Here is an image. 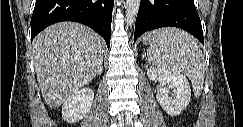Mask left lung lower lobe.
Instances as JSON below:
<instances>
[{"label": "left lung lower lobe", "mask_w": 243, "mask_h": 127, "mask_svg": "<svg viewBox=\"0 0 243 127\" xmlns=\"http://www.w3.org/2000/svg\"><path fill=\"white\" fill-rule=\"evenodd\" d=\"M178 27L204 42L194 0H141L135 23L134 42L146 31Z\"/></svg>", "instance_id": "1"}]
</instances>
